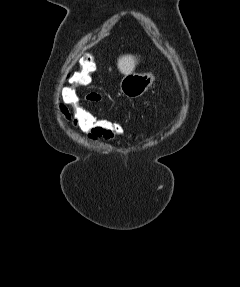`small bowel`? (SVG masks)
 <instances>
[{"label":"small bowel","instance_id":"small-bowel-1","mask_svg":"<svg viewBox=\"0 0 240 287\" xmlns=\"http://www.w3.org/2000/svg\"><path fill=\"white\" fill-rule=\"evenodd\" d=\"M103 99H104L103 95L98 92H91L85 95V101L89 103H98V102H101ZM56 103H57V109H58L59 115L72 124L59 95L57 97ZM88 138L90 141L94 143L98 142L100 139H106V140L112 139V138H105L100 135H94V134H89Z\"/></svg>","mask_w":240,"mask_h":287}]
</instances>
